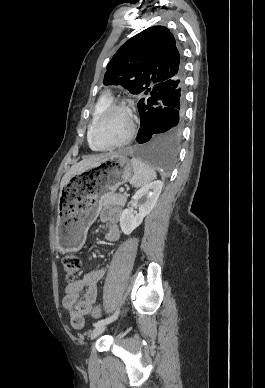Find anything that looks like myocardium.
<instances>
[{
  "label": "myocardium",
  "mask_w": 265,
  "mask_h": 388,
  "mask_svg": "<svg viewBox=\"0 0 265 388\" xmlns=\"http://www.w3.org/2000/svg\"><path fill=\"white\" fill-rule=\"evenodd\" d=\"M112 110H119L128 116L129 128L125 136L120 141L114 144H103L97 138V128L100 121L103 119V117ZM134 132H135V123H134L130 108L123 104L110 103L102 109V111L99 113V115L96 117L95 121L93 122L92 130H91V138H92L93 144L99 148L115 149V148H120L125 146L132 139Z\"/></svg>",
  "instance_id": "f54148a6"
}]
</instances>
